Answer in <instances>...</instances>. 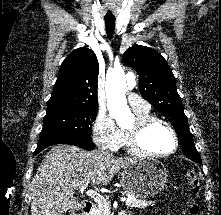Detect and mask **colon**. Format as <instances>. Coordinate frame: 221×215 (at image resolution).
Masks as SVG:
<instances>
[{
    "mask_svg": "<svg viewBox=\"0 0 221 215\" xmlns=\"http://www.w3.org/2000/svg\"><path fill=\"white\" fill-rule=\"evenodd\" d=\"M185 181L190 187L193 195L198 196L200 191V178L196 171L190 169L185 173ZM199 211V206L196 203H193L190 207V215H197Z\"/></svg>",
    "mask_w": 221,
    "mask_h": 215,
    "instance_id": "obj_1",
    "label": "colon"
}]
</instances>
